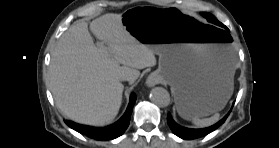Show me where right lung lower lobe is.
<instances>
[{"label":"right lung lower lobe","instance_id":"right-lung-lower-lobe-1","mask_svg":"<svg viewBox=\"0 0 279 148\" xmlns=\"http://www.w3.org/2000/svg\"><path fill=\"white\" fill-rule=\"evenodd\" d=\"M136 101L135 93L131 94L130 103L124 115L121 117L119 121L114 123L111 126L105 128H91L87 126H82L75 124L70 121H65V123L72 129L76 130L81 134H85L86 136L95 139V140H110L121 136L124 131L127 129L130 117L132 113L133 106Z\"/></svg>","mask_w":279,"mask_h":148}]
</instances>
